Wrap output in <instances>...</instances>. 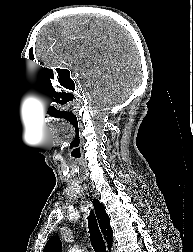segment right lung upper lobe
<instances>
[{"label": "right lung upper lobe", "mask_w": 193, "mask_h": 252, "mask_svg": "<svg viewBox=\"0 0 193 252\" xmlns=\"http://www.w3.org/2000/svg\"><path fill=\"white\" fill-rule=\"evenodd\" d=\"M93 206L95 209V213L99 222V226L101 231L107 241L108 244H111L113 241V232L110 226V219L107 213L105 212L104 206L99 202L98 199L93 200ZM61 241L58 236L51 237L46 243L43 252H61ZM109 250L111 246L108 247Z\"/></svg>", "instance_id": "cb5924a9"}]
</instances>
